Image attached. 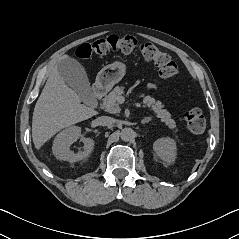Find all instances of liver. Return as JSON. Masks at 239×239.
I'll use <instances>...</instances> for the list:
<instances>
[{"mask_svg":"<svg viewBox=\"0 0 239 239\" xmlns=\"http://www.w3.org/2000/svg\"><path fill=\"white\" fill-rule=\"evenodd\" d=\"M68 56H63L67 58ZM97 111L81 104L75 90L65 84L55 65L36 102L32 117V139L36 149L57 132L70 125L87 120Z\"/></svg>","mask_w":239,"mask_h":239,"instance_id":"obj_1","label":"liver"}]
</instances>
